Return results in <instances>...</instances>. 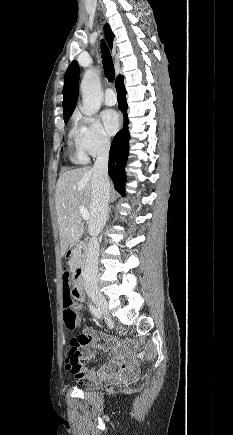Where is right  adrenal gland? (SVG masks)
<instances>
[{
	"mask_svg": "<svg viewBox=\"0 0 233 435\" xmlns=\"http://www.w3.org/2000/svg\"><path fill=\"white\" fill-rule=\"evenodd\" d=\"M110 212H111V208L108 209V217L107 218H109Z\"/></svg>",
	"mask_w": 233,
	"mask_h": 435,
	"instance_id": "1",
	"label": "right adrenal gland"
}]
</instances>
